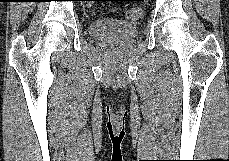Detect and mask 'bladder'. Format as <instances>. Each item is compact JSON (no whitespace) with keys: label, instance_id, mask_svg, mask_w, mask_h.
<instances>
[{"label":"bladder","instance_id":"1","mask_svg":"<svg viewBox=\"0 0 229 161\" xmlns=\"http://www.w3.org/2000/svg\"><path fill=\"white\" fill-rule=\"evenodd\" d=\"M88 30L90 35L95 38L116 36L132 39L138 35V27L135 24L114 17L101 18L92 21L88 25Z\"/></svg>","mask_w":229,"mask_h":161}]
</instances>
